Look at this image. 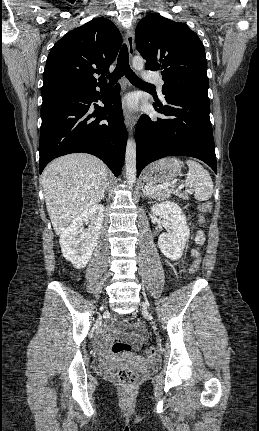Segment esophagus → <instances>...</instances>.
Returning a JSON list of instances; mask_svg holds the SVG:
<instances>
[{
    "mask_svg": "<svg viewBox=\"0 0 259 431\" xmlns=\"http://www.w3.org/2000/svg\"><path fill=\"white\" fill-rule=\"evenodd\" d=\"M126 44H127V48H128L129 58L131 59L133 57V54H134V28H133V26H131L127 32ZM122 85H123L124 91L129 86L128 82L125 79H123ZM123 115H124V120H125L126 126H128V127L131 126L133 123V120H132L131 114L129 112V109L125 105L123 107Z\"/></svg>",
    "mask_w": 259,
    "mask_h": 431,
    "instance_id": "esophagus-1",
    "label": "esophagus"
}]
</instances>
